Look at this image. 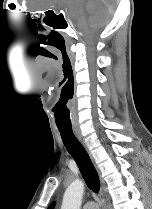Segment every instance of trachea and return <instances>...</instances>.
<instances>
[{"label": "trachea", "instance_id": "obj_1", "mask_svg": "<svg viewBox=\"0 0 152 209\" xmlns=\"http://www.w3.org/2000/svg\"><path fill=\"white\" fill-rule=\"evenodd\" d=\"M58 129L64 145L72 157L75 159L88 188L91 191L98 193L100 190L99 176L86 150L75 137L72 127L58 126Z\"/></svg>", "mask_w": 152, "mask_h": 209}]
</instances>
